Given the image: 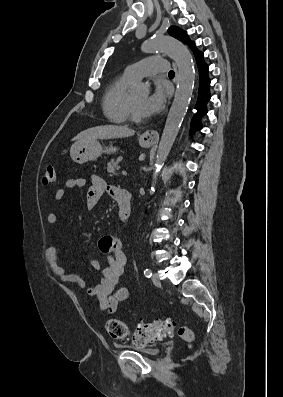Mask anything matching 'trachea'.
I'll list each match as a JSON object with an SVG mask.
<instances>
[{
  "instance_id": "3493384b",
  "label": "trachea",
  "mask_w": 283,
  "mask_h": 397,
  "mask_svg": "<svg viewBox=\"0 0 283 397\" xmlns=\"http://www.w3.org/2000/svg\"><path fill=\"white\" fill-rule=\"evenodd\" d=\"M168 75H169L170 77H174L175 73H174L173 70H171V71H169Z\"/></svg>"
}]
</instances>
